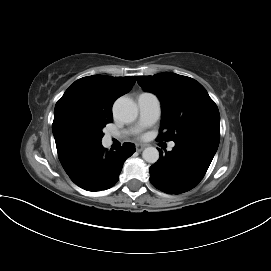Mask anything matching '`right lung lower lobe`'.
Instances as JSON below:
<instances>
[{
  "mask_svg": "<svg viewBox=\"0 0 271 271\" xmlns=\"http://www.w3.org/2000/svg\"><path fill=\"white\" fill-rule=\"evenodd\" d=\"M135 152L133 143H124L117 151H105L102 145L91 153L81 156L64 170L79 187L88 191L111 188L119 180L124 161Z\"/></svg>",
  "mask_w": 271,
  "mask_h": 271,
  "instance_id": "98d812e1",
  "label": "right lung lower lobe"
}]
</instances>
